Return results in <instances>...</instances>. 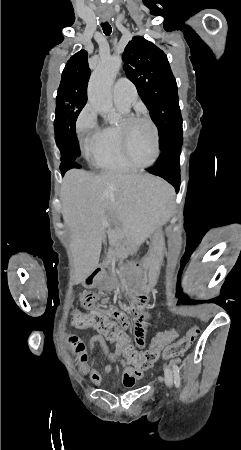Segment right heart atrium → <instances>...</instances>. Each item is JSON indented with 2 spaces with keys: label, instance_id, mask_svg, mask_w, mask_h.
<instances>
[{
  "label": "right heart atrium",
  "instance_id": "obj_1",
  "mask_svg": "<svg viewBox=\"0 0 241 450\" xmlns=\"http://www.w3.org/2000/svg\"><path fill=\"white\" fill-rule=\"evenodd\" d=\"M86 114H83L80 116L79 122H80V132L84 133L85 130H90L88 134L87 139H83L81 134H78V138L81 142H83L84 147V153L86 155H93L95 153V147H96V128L97 125L100 123L99 116H85Z\"/></svg>",
  "mask_w": 241,
  "mask_h": 450
}]
</instances>
